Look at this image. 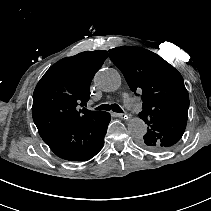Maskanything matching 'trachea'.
Instances as JSON below:
<instances>
[{"label": "trachea", "mask_w": 211, "mask_h": 211, "mask_svg": "<svg viewBox=\"0 0 211 211\" xmlns=\"http://www.w3.org/2000/svg\"><path fill=\"white\" fill-rule=\"evenodd\" d=\"M96 110H106V111L112 110V111L117 112V113H123V110L116 103L102 104V105L98 106L96 108Z\"/></svg>", "instance_id": "1"}]
</instances>
